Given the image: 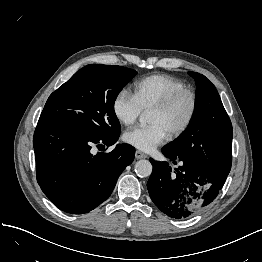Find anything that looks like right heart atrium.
I'll return each instance as SVG.
<instances>
[{"instance_id":"d8ad5b80","label":"right heart atrium","mask_w":262,"mask_h":262,"mask_svg":"<svg viewBox=\"0 0 262 262\" xmlns=\"http://www.w3.org/2000/svg\"><path fill=\"white\" fill-rule=\"evenodd\" d=\"M112 108L115 117L124 125L133 124L143 111L134 94L127 90L116 94Z\"/></svg>"}]
</instances>
